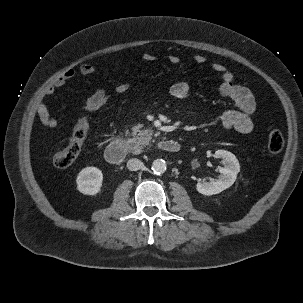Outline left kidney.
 Here are the masks:
<instances>
[{"label":"left kidney","mask_w":303,"mask_h":303,"mask_svg":"<svg viewBox=\"0 0 303 303\" xmlns=\"http://www.w3.org/2000/svg\"><path fill=\"white\" fill-rule=\"evenodd\" d=\"M216 157L221 158L224 167L219 168L218 179L206 183H197L196 189L203 195H214L233 185L240 171V164L236 156L226 150H217Z\"/></svg>","instance_id":"obj_1"}]
</instances>
